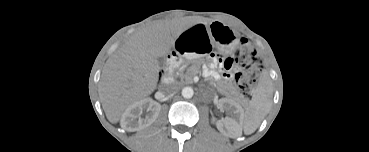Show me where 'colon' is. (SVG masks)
<instances>
[{
    "instance_id": "5ec220e1",
    "label": "colon",
    "mask_w": 369,
    "mask_h": 152,
    "mask_svg": "<svg viewBox=\"0 0 369 152\" xmlns=\"http://www.w3.org/2000/svg\"><path fill=\"white\" fill-rule=\"evenodd\" d=\"M212 66L224 71H235L234 79L240 90L248 94L253 89L263 71V65L255 49L246 40H242L235 57L212 58Z\"/></svg>"
}]
</instances>
